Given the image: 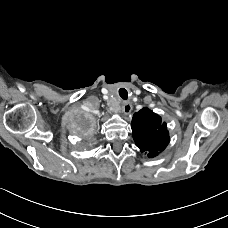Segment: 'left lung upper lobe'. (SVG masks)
Returning a JSON list of instances; mask_svg holds the SVG:
<instances>
[{
	"mask_svg": "<svg viewBox=\"0 0 228 228\" xmlns=\"http://www.w3.org/2000/svg\"><path fill=\"white\" fill-rule=\"evenodd\" d=\"M131 127L136 146L150 158L162 152L170 141L166 123L148 108L133 115Z\"/></svg>",
	"mask_w": 228,
	"mask_h": 228,
	"instance_id": "left-lung-upper-lobe-1",
	"label": "left lung upper lobe"
}]
</instances>
